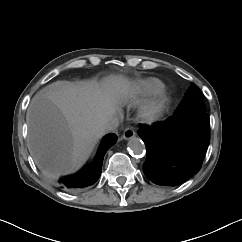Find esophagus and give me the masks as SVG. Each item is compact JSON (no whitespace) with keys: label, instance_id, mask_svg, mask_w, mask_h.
I'll return each mask as SVG.
<instances>
[{"label":"esophagus","instance_id":"obj_1","mask_svg":"<svg viewBox=\"0 0 242 242\" xmlns=\"http://www.w3.org/2000/svg\"><path fill=\"white\" fill-rule=\"evenodd\" d=\"M136 132L133 128H126L123 132L122 137L126 140L131 139L135 136Z\"/></svg>","mask_w":242,"mask_h":242}]
</instances>
